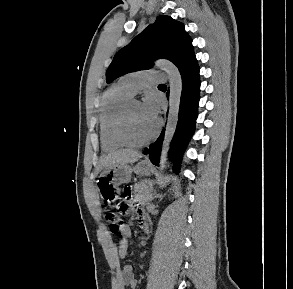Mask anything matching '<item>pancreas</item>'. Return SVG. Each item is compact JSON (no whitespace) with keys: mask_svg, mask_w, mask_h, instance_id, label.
<instances>
[{"mask_svg":"<svg viewBox=\"0 0 293 289\" xmlns=\"http://www.w3.org/2000/svg\"><path fill=\"white\" fill-rule=\"evenodd\" d=\"M134 194L136 199L144 202H149L153 198L152 188L146 180L134 185Z\"/></svg>","mask_w":293,"mask_h":289,"instance_id":"1","label":"pancreas"}]
</instances>
